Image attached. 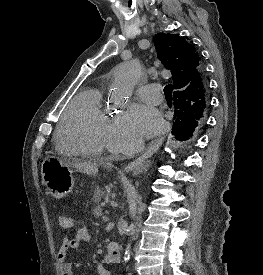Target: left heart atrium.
<instances>
[{
	"label": "left heart atrium",
	"mask_w": 263,
	"mask_h": 275,
	"mask_svg": "<svg viewBox=\"0 0 263 275\" xmlns=\"http://www.w3.org/2000/svg\"><path fill=\"white\" fill-rule=\"evenodd\" d=\"M130 124L137 135L152 137L162 130L163 119L154 107L135 105L131 109Z\"/></svg>",
	"instance_id": "1"
}]
</instances>
